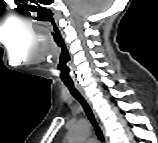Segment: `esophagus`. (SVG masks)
Listing matches in <instances>:
<instances>
[{
  "label": "esophagus",
  "mask_w": 158,
  "mask_h": 143,
  "mask_svg": "<svg viewBox=\"0 0 158 143\" xmlns=\"http://www.w3.org/2000/svg\"><path fill=\"white\" fill-rule=\"evenodd\" d=\"M75 87H76V89L78 90V92L82 95V97L86 100V102L89 104V106L91 107V109H92V111H93V114H94V116H95V119H96V121H97V123H98V125H99V127H100V129H101V131H102V133H103L104 140H105V142H108V137H107V135L105 134L104 126H103L102 122L100 121L97 112L94 110V108H93V106H92V103H91V101L89 100L88 96L86 95L84 89H83L80 85H77V84L75 85Z\"/></svg>",
  "instance_id": "obj_1"
}]
</instances>
